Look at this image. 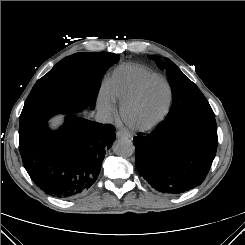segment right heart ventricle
<instances>
[{"instance_id":"e07e8e85","label":"right heart ventricle","mask_w":245,"mask_h":245,"mask_svg":"<svg viewBox=\"0 0 245 245\" xmlns=\"http://www.w3.org/2000/svg\"><path fill=\"white\" fill-rule=\"evenodd\" d=\"M155 77H158L157 73L142 65H120L111 75L108 90L114 100L123 103L136 92L142 83Z\"/></svg>"}]
</instances>
